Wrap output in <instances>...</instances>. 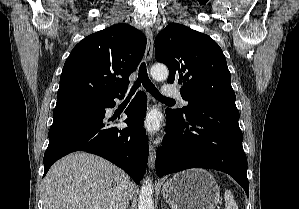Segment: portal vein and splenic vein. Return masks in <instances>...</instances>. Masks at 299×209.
<instances>
[{
    "label": "portal vein and splenic vein",
    "instance_id": "obj_1",
    "mask_svg": "<svg viewBox=\"0 0 299 209\" xmlns=\"http://www.w3.org/2000/svg\"><path fill=\"white\" fill-rule=\"evenodd\" d=\"M94 209H99V207H95Z\"/></svg>",
    "mask_w": 299,
    "mask_h": 209
}]
</instances>
